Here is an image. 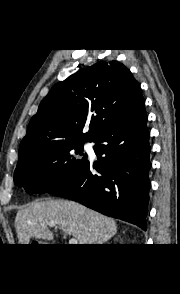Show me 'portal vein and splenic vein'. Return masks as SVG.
<instances>
[{
  "label": "portal vein and splenic vein",
  "instance_id": "portal-vein-and-splenic-vein-1",
  "mask_svg": "<svg viewBox=\"0 0 180 294\" xmlns=\"http://www.w3.org/2000/svg\"><path fill=\"white\" fill-rule=\"evenodd\" d=\"M48 225L50 227H54V226H56V223L55 222H49ZM64 238H66V237H64ZM69 244L76 245V244H78V240L76 238H71L69 240Z\"/></svg>",
  "mask_w": 180,
  "mask_h": 294
}]
</instances>
